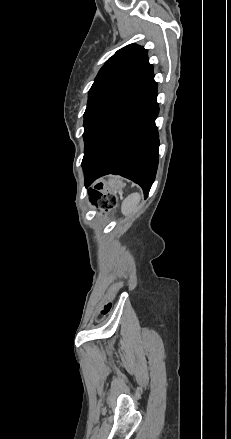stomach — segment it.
I'll list each match as a JSON object with an SVG mask.
<instances>
[{
    "mask_svg": "<svg viewBox=\"0 0 231 439\" xmlns=\"http://www.w3.org/2000/svg\"><path fill=\"white\" fill-rule=\"evenodd\" d=\"M124 186L125 183L119 177L111 176L103 181V189L109 192H120Z\"/></svg>",
    "mask_w": 231,
    "mask_h": 439,
    "instance_id": "stomach-1",
    "label": "stomach"
}]
</instances>
